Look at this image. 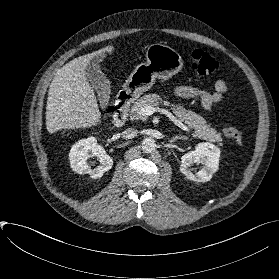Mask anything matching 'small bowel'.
Returning <instances> with one entry per match:
<instances>
[{
	"label": "small bowel",
	"instance_id": "obj_1",
	"mask_svg": "<svg viewBox=\"0 0 279 279\" xmlns=\"http://www.w3.org/2000/svg\"><path fill=\"white\" fill-rule=\"evenodd\" d=\"M228 87L225 81L218 80L214 85V91L211 93L198 91L192 87L180 86L175 89V93L178 96L182 97H199L202 107L205 110H211V108L220 102L225 93L227 92Z\"/></svg>",
	"mask_w": 279,
	"mask_h": 279
}]
</instances>
